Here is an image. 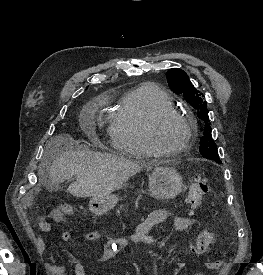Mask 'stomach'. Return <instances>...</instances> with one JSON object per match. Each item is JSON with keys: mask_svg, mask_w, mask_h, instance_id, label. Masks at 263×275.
Masks as SVG:
<instances>
[{"mask_svg": "<svg viewBox=\"0 0 263 275\" xmlns=\"http://www.w3.org/2000/svg\"><path fill=\"white\" fill-rule=\"evenodd\" d=\"M183 180L181 175L172 167H157L149 177V190L157 199H172L182 192ZM117 195L93 197L89 209L96 215L107 213L118 202Z\"/></svg>", "mask_w": 263, "mask_h": 275, "instance_id": "0dacf381", "label": "stomach"}]
</instances>
